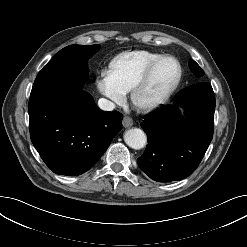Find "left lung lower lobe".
<instances>
[{"label":"left lung lower lobe","instance_id":"0a47b994","mask_svg":"<svg viewBox=\"0 0 247 247\" xmlns=\"http://www.w3.org/2000/svg\"><path fill=\"white\" fill-rule=\"evenodd\" d=\"M186 109L185 118L178 108ZM215 94L201 82L181 92L172 105L145 118L141 127L148 144L138 165L157 182L182 180L200 164L213 137Z\"/></svg>","mask_w":247,"mask_h":247}]
</instances>
